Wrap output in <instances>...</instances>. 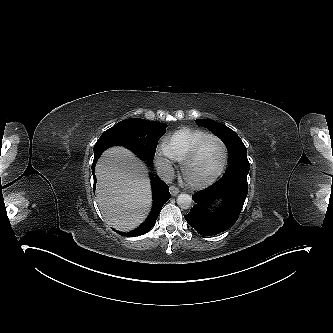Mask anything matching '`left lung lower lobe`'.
<instances>
[{"mask_svg": "<svg viewBox=\"0 0 333 333\" xmlns=\"http://www.w3.org/2000/svg\"><path fill=\"white\" fill-rule=\"evenodd\" d=\"M248 193L247 180L221 178L206 190L195 193L192 198L196 205L184 216L187 223L200 235L212 236L233 226L242 210ZM222 199V206L214 212L206 210V206L217 199Z\"/></svg>", "mask_w": 333, "mask_h": 333, "instance_id": "left-lung-lower-lobe-1", "label": "left lung lower lobe"}]
</instances>
